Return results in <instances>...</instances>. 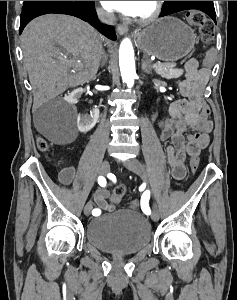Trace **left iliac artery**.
<instances>
[{
	"instance_id": "obj_1",
	"label": "left iliac artery",
	"mask_w": 237,
	"mask_h": 300,
	"mask_svg": "<svg viewBox=\"0 0 237 300\" xmlns=\"http://www.w3.org/2000/svg\"><path fill=\"white\" fill-rule=\"evenodd\" d=\"M149 198H150V192L149 191L144 192L142 197H141V209L147 215L151 214V210H150L149 205H148Z\"/></svg>"
}]
</instances>
